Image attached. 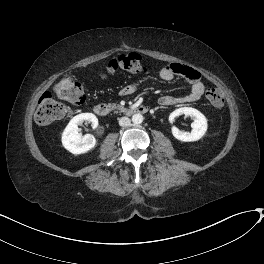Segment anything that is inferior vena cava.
I'll return each instance as SVG.
<instances>
[{"instance_id":"1","label":"inferior vena cava","mask_w":264,"mask_h":264,"mask_svg":"<svg viewBox=\"0 0 264 264\" xmlns=\"http://www.w3.org/2000/svg\"><path fill=\"white\" fill-rule=\"evenodd\" d=\"M131 123V120L128 117H121L119 119V125L122 127L129 126Z\"/></svg>"}]
</instances>
